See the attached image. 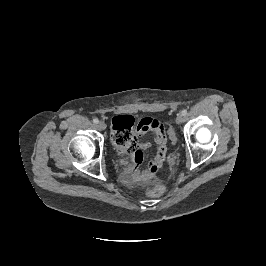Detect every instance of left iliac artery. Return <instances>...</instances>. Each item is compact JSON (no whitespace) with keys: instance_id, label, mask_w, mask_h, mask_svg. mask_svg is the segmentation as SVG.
I'll return each mask as SVG.
<instances>
[{"instance_id":"44dca946","label":"left iliac artery","mask_w":266,"mask_h":266,"mask_svg":"<svg viewBox=\"0 0 266 266\" xmlns=\"http://www.w3.org/2000/svg\"><path fill=\"white\" fill-rule=\"evenodd\" d=\"M181 113H182L183 116H185V115H187V110L183 109Z\"/></svg>"}]
</instances>
